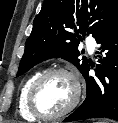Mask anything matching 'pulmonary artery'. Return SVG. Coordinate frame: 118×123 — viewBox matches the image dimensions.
<instances>
[{
	"instance_id": "obj_1",
	"label": "pulmonary artery",
	"mask_w": 118,
	"mask_h": 123,
	"mask_svg": "<svg viewBox=\"0 0 118 123\" xmlns=\"http://www.w3.org/2000/svg\"><path fill=\"white\" fill-rule=\"evenodd\" d=\"M86 44H87V47H88L89 52H90V53H93L94 50H95L96 47H97V43H96L95 39L92 38V37H88V38L86 39Z\"/></svg>"
}]
</instances>
